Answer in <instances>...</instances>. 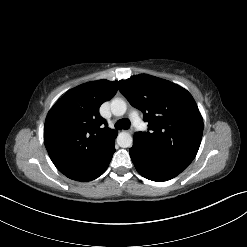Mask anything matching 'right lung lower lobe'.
<instances>
[{"instance_id": "1", "label": "right lung lower lobe", "mask_w": 247, "mask_h": 247, "mask_svg": "<svg viewBox=\"0 0 247 247\" xmlns=\"http://www.w3.org/2000/svg\"><path fill=\"white\" fill-rule=\"evenodd\" d=\"M114 152H115V148L113 142L109 150L96 163H94L92 166L81 172L67 175V177L82 182L91 181L99 177L108 168Z\"/></svg>"}]
</instances>
